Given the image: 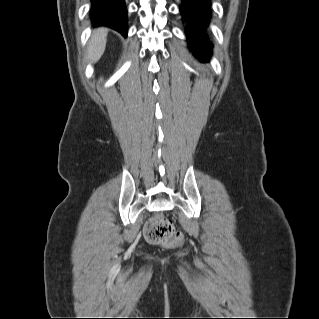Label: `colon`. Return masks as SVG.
<instances>
[{
  "instance_id": "5ec220e1",
  "label": "colon",
  "mask_w": 319,
  "mask_h": 319,
  "mask_svg": "<svg viewBox=\"0 0 319 319\" xmlns=\"http://www.w3.org/2000/svg\"><path fill=\"white\" fill-rule=\"evenodd\" d=\"M147 240L151 243L164 244L169 246H181L184 243V236L174 229L172 222L160 215L149 219L144 227Z\"/></svg>"
}]
</instances>
